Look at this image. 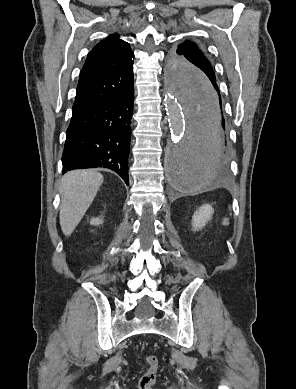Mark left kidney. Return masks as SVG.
I'll use <instances>...</instances> for the list:
<instances>
[{
	"label": "left kidney",
	"instance_id": "1",
	"mask_svg": "<svg viewBox=\"0 0 296 389\" xmlns=\"http://www.w3.org/2000/svg\"><path fill=\"white\" fill-rule=\"evenodd\" d=\"M213 213L214 209L211 205H202L192 217L193 230L197 231L202 229L206 225V223L212 218Z\"/></svg>",
	"mask_w": 296,
	"mask_h": 389
}]
</instances>
